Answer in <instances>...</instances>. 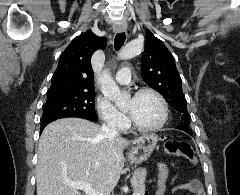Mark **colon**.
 <instances>
[{"mask_svg":"<svg viewBox=\"0 0 240 195\" xmlns=\"http://www.w3.org/2000/svg\"><path fill=\"white\" fill-rule=\"evenodd\" d=\"M163 154H168L169 157L173 155L181 154L185 156L191 164L197 165V159L191 148V146L183 140L168 141L165 143V147L162 148ZM167 175H170V167H167L166 163L158 165V185L157 195H162L167 191ZM188 189L194 195H204L202 186L198 182H191L188 185Z\"/></svg>","mask_w":240,"mask_h":195,"instance_id":"1","label":"colon"}]
</instances>
